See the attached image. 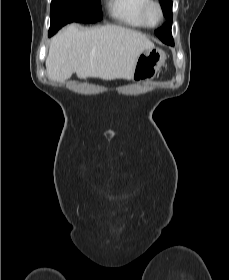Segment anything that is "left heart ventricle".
<instances>
[{
	"label": "left heart ventricle",
	"mask_w": 229,
	"mask_h": 280,
	"mask_svg": "<svg viewBox=\"0 0 229 280\" xmlns=\"http://www.w3.org/2000/svg\"><path fill=\"white\" fill-rule=\"evenodd\" d=\"M149 21L151 23H156L158 21V12L155 9H152L149 13Z\"/></svg>",
	"instance_id": "obj_1"
}]
</instances>
